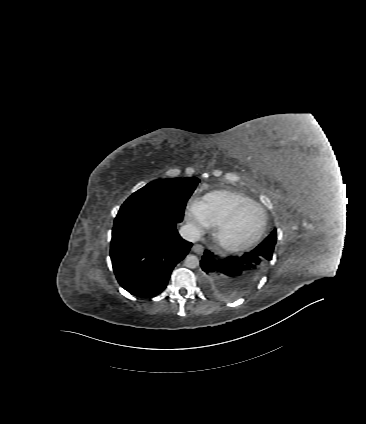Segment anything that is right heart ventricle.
<instances>
[{
	"label": "right heart ventricle",
	"instance_id": "obj_1",
	"mask_svg": "<svg viewBox=\"0 0 366 424\" xmlns=\"http://www.w3.org/2000/svg\"><path fill=\"white\" fill-rule=\"evenodd\" d=\"M202 214L208 226H216L237 207L246 203H255L241 192L217 190L206 194L202 199Z\"/></svg>",
	"mask_w": 366,
	"mask_h": 424
}]
</instances>
